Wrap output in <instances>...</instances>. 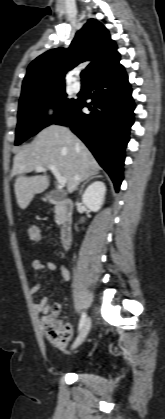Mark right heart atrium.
<instances>
[{
	"label": "right heart atrium",
	"instance_id": "d8ad5b80",
	"mask_svg": "<svg viewBox=\"0 0 165 419\" xmlns=\"http://www.w3.org/2000/svg\"><path fill=\"white\" fill-rule=\"evenodd\" d=\"M59 113V105L56 102H49L44 108V114L48 119H54Z\"/></svg>",
	"mask_w": 165,
	"mask_h": 419
}]
</instances>
